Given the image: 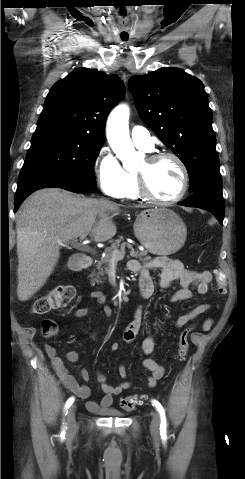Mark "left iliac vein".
Wrapping results in <instances>:
<instances>
[{"mask_svg": "<svg viewBox=\"0 0 245 479\" xmlns=\"http://www.w3.org/2000/svg\"><path fill=\"white\" fill-rule=\"evenodd\" d=\"M159 426H160L159 413L156 412V411H153L152 412V420H151V424H150V431H151V434L156 438L159 436Z\"/></svg>", "mask_w": 245, "mask_h": 479, "instance_id": "4c4485c4", "label": "left iliac vein"}]
</instances>
